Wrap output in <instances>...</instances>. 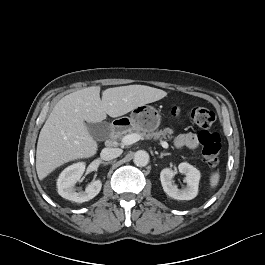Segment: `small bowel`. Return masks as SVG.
Segmentation results:
<instances>
[{
    "mask_svg": "<svg viewBox=\"0 0 265 265\" xmlns=\"http://www.w3.org/2000/svg\"><path fill=\"white\" fill-rule=\"evenodd\" d=\"M198 144V137L194 133L180 134L175 139V145L178 148L186 147L189 149H195L198 147Z\"/></svg>",
    "mask_w": 265,
    "mask_h": 265,
    "instance_id": "1",
    "label": "small bowel"
}]
</instances>
